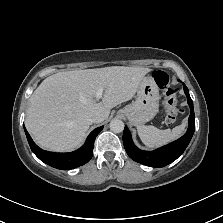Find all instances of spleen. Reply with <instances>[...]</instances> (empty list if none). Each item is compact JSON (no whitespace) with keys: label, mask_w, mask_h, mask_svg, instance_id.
<instances>
[{"label":"spleen","mask_w":223,"mask_h":223,"mask_svg":"<svg viewBox=\"0 0 223 223\" xmlns=\"http://www.w3.org/2000/svg\"><path fill=\"white\" fill-rule=\"evenodd\" d=\"M186 123H182L175 128L160 130L154 126L141 125L137 127L141 141L147 147H158L178 138L184 131Z\"/></svg>","instance_id":"obj_1"}]
</instances>
